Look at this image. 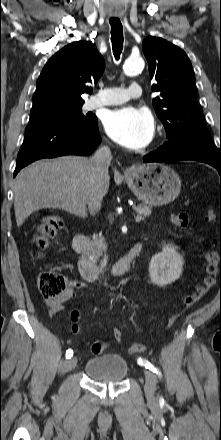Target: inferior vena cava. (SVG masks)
<instances>
[{"mask_svg":"<svg viewBox=\"0 0 221 440\" xmlns=\"http://www.w3.org/2000/svg\"><path fill=\"white\" fill-rule=\"evenodd\" d=\"M112 159V153L109 147L102 146L95 151L89 159L91 170V188L88 196V206L91 214L100 208L104 182L109 178L108 168Z\"/></svg>","mask_w":221,"mask_h":440,"instance_id":"1","label":"inferior vena cava"}]
</instances>
